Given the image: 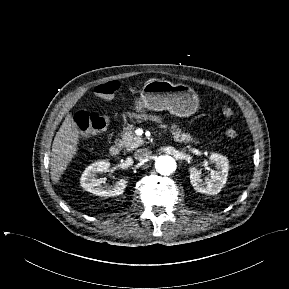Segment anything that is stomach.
<instances>
[{"label": "stomach", "mask_w": 289, "mask_h": 289, "mask_svg": "<svg viewBox=\"0 0 289 289\" xmlns=\"http://www.w3.org/2000/svg\"><path fill=\"white\" fill-rule=\"evenodd\" d=\"M140 98L136 101V110H168L179 117L194 114L199 106L198 95L184 84H173L167 80L151 79L142 88Z\"/></svg>", "instance_id": "0dacf381"}]
</instances>
